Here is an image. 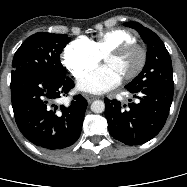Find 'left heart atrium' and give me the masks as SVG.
I'll return each mask as SVG.
<instances>
[{"label": "left heart atrium", "instance_id": "left-heart-atrium-1", "mask_svg": "<svg viewBox=\"0 0 187 187\" xmlns=\"http://www.w3.org/2000/svg\"><path fill=\"white\" fill-rule=\"evenodd\" d=\"M121 79L112 67L103 65L82 76L77 82V87L87 93L102 94L116 87Z\"/></svg>", "mask_w": 187, "mask_h": 187}]
</instances>
